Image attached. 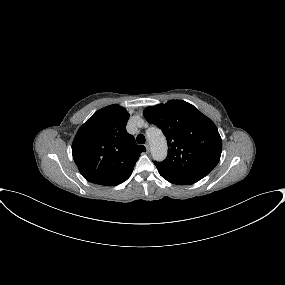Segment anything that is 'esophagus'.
I'll return each mask as SVG.
<instances>
[{
	"mask_svg": "<svg viewBox=\"0 0 285 285\" xmlns=\"http://www.w3.org/2000/svg\"><path fill=\"white\" fill-rule=\"evenodd\" d=\"M145 147H146L147 152H149L150 148H149V144L148 143L145 144Z\"/></svg>",
	"mask_w": 285,
	"mask_h": 285,
	"instance_id": "34e87169",
	"label": "esophagus"
}]
</instances>
